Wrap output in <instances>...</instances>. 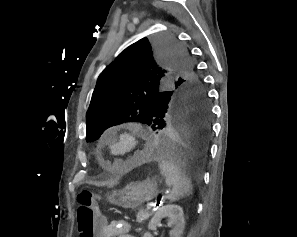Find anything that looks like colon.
I'll list each match as a JSON object with an SVG mask.
<instances>
[{
	"instance_id": "1",
	"label": "colon",
	"mask_w": 297,
	"mask_h": 237,
	"mask_svg": "<svg viewBox=\"0 0 297 237\" xmlns=\"http://www.w3.org/2000/svg\"><path fill=\"white\" fill-rule=\"evenodd\" d=\"M77 226L79 237H97L103 222L98 214L99 196L83 190L78 194Z\"/></svg>"
}]
</instances>
